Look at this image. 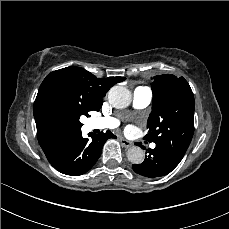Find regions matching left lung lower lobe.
Wrapping results in <instances>:
<instances>
[{"mask_svg": "<svg viewBox=\"0 0 229 229\" xmlns=\"http://www.w3.org/2000/svg\"><path fill=\"white\" fill-rule=\"evenodd\" d=\"M136 144L143 147L141 143ZM180 161L174 158L166 147L156 145L154 149H149V155L145 157L143 163L132 165V168L139 175L157 178L169 174Z\"/></svg>", "mask_w": 229, "mask_h": 229, "instance_id": "1", "label": "left lung lower lobe"}]
</instances>
